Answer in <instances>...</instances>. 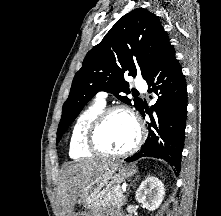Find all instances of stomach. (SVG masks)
I'll return each instance as SVG.
<instances>
[{
  "label": "stomach",
  "instance_id": "0dacf381",
  "mask_svg": "<svg viewBox=\"0 0 221 216\" xmlns=\"http://www.w3.org/2000/svg\"><path fill=\"white\" fill-rule=\"evenodd\" d=\"M136 171L134 166H127L122 162L112 163L84 187L79 194L77 202L86 209H92L95 205L100 204V200L103 199L113 187L131 178ZM70 216L91 215L90 212L82 211L73 212Z\"/></svg>",
  "mask_w": 221,
  "mask_h": 216
}]
</instances>
